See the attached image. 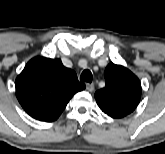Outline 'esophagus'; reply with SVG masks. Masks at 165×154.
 <instances>
[{"instance_id": "1", "label": "esophagus", "mask_w": 165, "mask_h": 154, "mask_svg": "<svg viewBox=\"0 0 165 154\" xmlns=\"http://www.w3.org/2000/svg\"><path fill=\"white\" fill-rule=\"evenodd\" d=\"M86 89L89 91V92H92L94 90V84L92 83H87L86 84Z\"/></svg>"}]
</instances>
